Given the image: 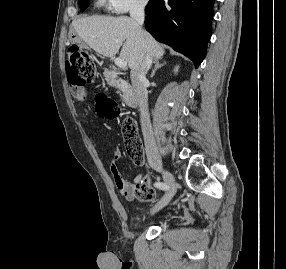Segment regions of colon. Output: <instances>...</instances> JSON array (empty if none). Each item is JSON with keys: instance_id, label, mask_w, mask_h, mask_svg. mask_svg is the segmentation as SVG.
<instances>
[{"instance_id": "1", "label": "colon", "mask_w": 286, "mask_h": 269, "mask_svg": "<svg viewBox=\"0 0 286 269\" xmlns=\"http://www.w3.org/2000/svg\"><path fill=\"white\" fill-rule=\"evenodd\" d=\"M66 70L72 85V93H76L79 88L92 83L97 78V68L93 57L76 45H70L67 48ZM96 111L99 116L105 118H113L119 112L115 102L105 94H99ZM122 134L131 161L134 165H142L144 152L134 119L123 120ZM134 195L140 201L151 202L155 200L157 193L150 185L148 178L144 177L135 183Z\"/></svg>"}]
</instances>
